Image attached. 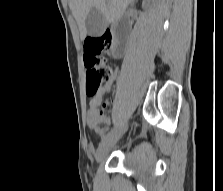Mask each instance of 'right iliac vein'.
<instances>
[{
  "mask_svg": "<svg viewBox=\"0 0 223 191\" xmlns=\"http://www.w3.org/2000/svg\"><path fill=\"white\" fill-rule=\"evenodd\" d=\"M116 140H117V136L112 135L111 137H109L108 139H106L99 145L95 154L96 162H100L104 159V157L107 155L108 151L114 145Z\"/></svg>",
  "mask_w": 223,
  "mask_h": 191,
  "instance_id": "63e3f726",
  "label": "right iliac vein"
}]
</instances>
